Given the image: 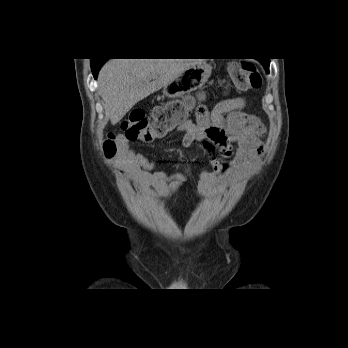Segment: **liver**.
I'll return each mask as SVG.
<instances>
[{
  "mask_svg": "<svg viewBox=\"0 0 348 348\" xmlns=\"http://www.w3.org/2000/svg\"><path fill=\"white\" fill-rule=\"evenodd\" d=\"M198 59H110L98 74L105 115L117 124L140 100L160 90Z\"/></svg>",
  "mask_w": 348,
  "mask_h": 348,
  "instance_id": "1",
  "label": "liver"
}]
</instances>
